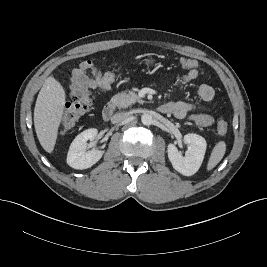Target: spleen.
I'll list each match as a JSON object with an SVG mask.
<instances>
[{
	"mask_svg": "<svg viewBox=\"0 0 267 267\" xmlns=\"http://www.w3.org/2000/svg\"><path fill=\"white\" fill-rule=\"evenodd\" d=\"M226 152V143L224 141H219L213 148L208 164L207 170H212L223 158Z\"/></svg>",
	"mask_w": 267,
	"mask_h": 267,
	"instance_id": "spleen-1",
	"label": "spleen"
}]
</instances>
